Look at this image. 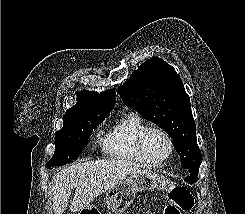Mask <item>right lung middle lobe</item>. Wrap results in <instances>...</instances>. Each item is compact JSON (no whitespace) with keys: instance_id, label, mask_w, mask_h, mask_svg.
Returning a JSON list of instances; mask_svg holds the SVG:
<instances>
[{"instance_id":"1","label":"right lung middle lobe","mask_w":245,"mask_h":214,"mask_svg":"<svg viewBox=\"0 0 245 214\" xmlns=\"http://www.w3.org/2000/svg\"><path fill=\"white\" fill-rule=\"evenodd\" d=\"M109 114H87L75 117L70 125L56 133L55 152L46 163V167L61 166L76 161L88 144L93 129L107 118Z\"/></svg>"}]
</instances>
